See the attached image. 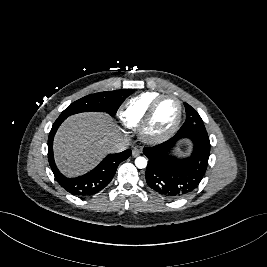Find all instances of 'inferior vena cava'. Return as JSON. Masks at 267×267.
<instances>
[{"mask_svg": "<svg viewBox=\"0 0 267 267\" xmlns=\"http://www.w3.org/2000/svg\"><path fill=\"white\" fill-rule=\"evenodd\" d=\"M129 146V141L126 138L117 139L112 145V151L122 152L126 150Z\"/></svg>", "mask_w": 267, "mask_h": 267, "instance_id": "inferior-vena-cava-1", "label": "inferior vena cava"}]
</instances>
